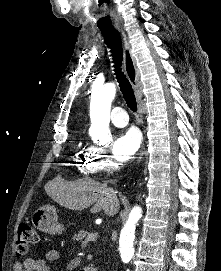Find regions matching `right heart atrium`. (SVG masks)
Instances as JSON below:
<instances>
[{
  "instance_id": "right-heart-atrium-1",
  "label": "right heart atrium",
  "mask_w": 221,
  "mask_h": 271,
  "mask_svg": "<svg viewBox=\"0 0 221 271\" xmlns=\"http://www.w3.org/2000/svg\"><path fill=\"white\" fill-rule=\"evenodd\" d=\"M95 156V157H88ZM110 154H105L104 151H77L75 159H80V173H103L105 167H109Z\"/></svg>"
}]
</instances>
